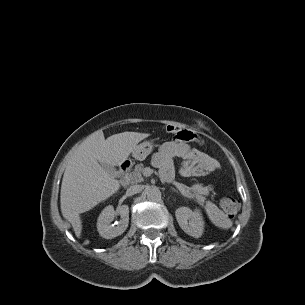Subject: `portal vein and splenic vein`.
<instances>
[{
    "label": "portal vein and splenic vein",
    "mask_w": 305,
    "mask_h": 305,
    "mask_svg": "<svg viewBox=\"0 0 305 305\" xmlns=\"http://www.w3.org/2000/svg\"><path fill=\"white\" fill-rule=\"evenodd\" d=\"M144 176H150L152 174V169L146 168L143 172Z\"/></svg>",
    "instance_id": "1"
}]
</instances>
